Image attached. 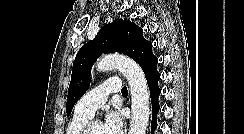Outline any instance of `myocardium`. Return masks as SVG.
Masks as SVG:
<instances>
[{
  "instance_id": "obj_1",
  "label": "myocardium",
  "mask_w": 244,
  "mask_h": 134,
  "mask_svg": "<svg viewBox=\"0 0 244 134\" xmlns=\"http://www.w3.org/2000/svg\"><path fill=\"white\" fill-rule=\"evenodd\" d=\"M96 123H100L98 120H89V122L83 128L81 134H92V129Z\"/></svg>"
}]
</instances>
